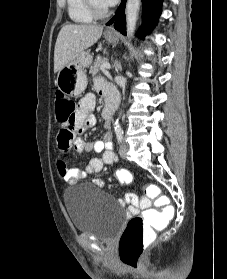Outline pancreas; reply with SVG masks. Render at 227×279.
<instances>
[{"label":"pancreas","mask_w":227,"mask_h":279,"mask_svg":"<svg viewBox=\"0 0 227 279\" xmlns=\"http://www.w3.org/2000/svg\"><path fill=\"white\" fill-rule=\"evenodd\" d=\"M108 63L106 58H97L94 62V65L90 69V73L95 75L99 70H101L103 64Z\"/></svg>","instance_id":"cf45deb5"}]
</instances>
